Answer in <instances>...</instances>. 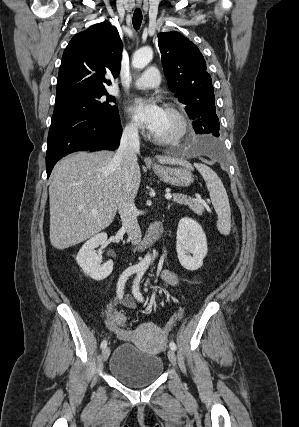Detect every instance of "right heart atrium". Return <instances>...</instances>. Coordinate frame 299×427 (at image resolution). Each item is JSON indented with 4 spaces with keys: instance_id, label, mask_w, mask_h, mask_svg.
<instances>
[{
    "instance_id": "1",
    "label": "right heart atrium",
    "mask_w": 299,
    "mask_h": 427,
    "mask_svg": "<svg viewBox=\"0 0 299 427\" xmlns=\"http://www.w3.org/2000/svg\"><path fill=\"white\" fill-rule=\"evenodd\" d=\"M124 133L130 137L138 135V128L133 122H128L124 127Z\"/></svg>"
}]
</instances>
